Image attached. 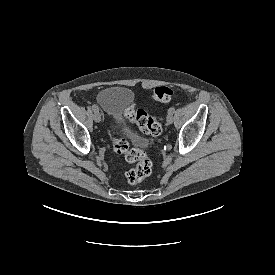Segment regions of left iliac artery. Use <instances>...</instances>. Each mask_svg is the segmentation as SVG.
Masks as SVG:
<instances>
[{
    "mask_svg": "<svg viewBox=\"0 0 275 275\" xmlns=\"http://www.w3.org/2000/svg\"><path fill=\"white\" fill-rule=\"evenodd\" d=\"M174 111H175V108H173V107H171V108L168 109V113H169V114H173Z\"/></svg>",
    "mask_w": 275,
    "mask_h": 275,
    "instance_id": "44dca946",
    "label": "left iliac artery"
}]
</instances>
